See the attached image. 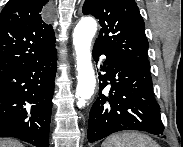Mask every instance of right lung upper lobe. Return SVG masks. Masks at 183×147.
<instances>
[{
    "instance_id": "1",
    "label": "right lung upper lobe",
    "mask_w": 183,
    "mask_h": 147,
    "mask_svg": "<svg viewBox=\"0 0 183 147\" xmlns=\"http://www.w3.org/2000/svg\"><path fill=\"white\" fill-rule=\"evenodd\" d=\"M47 0H10L0 13V74L44 58L55 49L53 27L43 22Z\"/></svg>"
}]
</instances>
